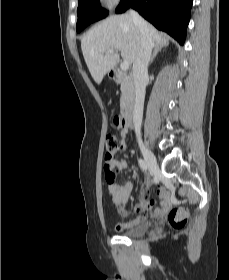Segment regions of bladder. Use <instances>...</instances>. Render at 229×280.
Masks as SVG:
<instances>
[{
    "label": "bladder",
    "instance_id": "obj_1",
    "mask_svg": "<svg viewBox=\"0 0 229 280\" xmlns=\"http://www.w3.org/2000/svg\"><path fill=\"white\" fill-rule=\"evenodd\" d=\"M151 222L147 219L140 220L135 226L124 229L119 233L122 235L135 237L144 235L150 228Z\"/></svg>",
    "mask_w": 229,
    "mask_h": 280
}]
</instances>
